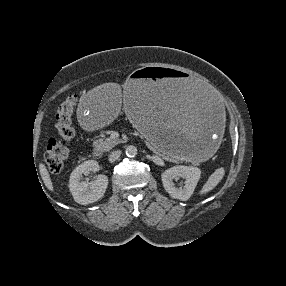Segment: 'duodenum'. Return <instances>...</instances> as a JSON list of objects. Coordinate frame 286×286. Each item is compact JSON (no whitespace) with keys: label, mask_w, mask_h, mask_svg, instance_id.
I'll use <instances>...</instances> for the list:
<instances>
[{"label":"duodenum","mask_w":286,"mask_h":286,"mask_svg":"<svg viewBox=\"0 0 286 286\" xmlns=\"http://www.w3.org/2000/svg\"><path fill=\"white\" fill-rule=\"evenodd\" d=\"M92 156L94 159H101L102 158V153L99 149H94L92 152Z\"/></svg>","instance_id":"obj_1"}]
</instances>
